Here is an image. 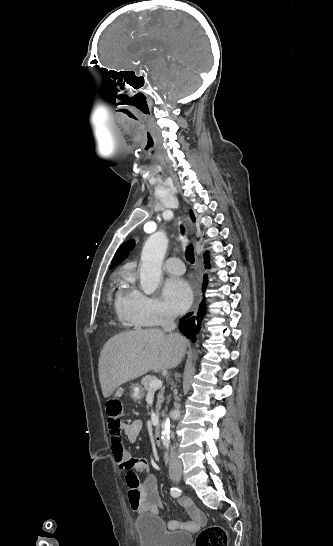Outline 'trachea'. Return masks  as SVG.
<instances>
[{
	"mask_svg": "<svg viewBox=\"0 0 333 546\" xmlns=\"http://www.w3.org/2000/svg\"><path fill=\"white\" fill-rule=\"evenodd\" d=\"M181 232H182V233L184 232V228H183L182 226H181ZM185 256H186V259H187L190 263H194V250H193L192 245H188V246L186 247Z\"/></svg>",
	"mask_w": 333,
	"mask_h": 546,
	"instance_id": "obj_1",
	"label": "trachea"
}]
</instances>
